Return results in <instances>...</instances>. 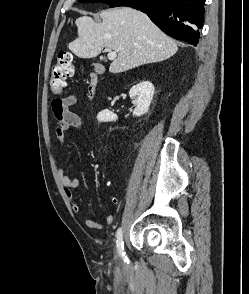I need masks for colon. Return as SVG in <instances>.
<instances>
[{
    "label": "colon",
    "mask_w": 249,
    "mask_h": 294,
    "mask_svg": "<svg viewBox=\"0 0 249 294\" xmlns=\"http://www.w3.org/2000/svg\"><path fill=\"white\" fill-rule=\"evenodd\" d=\"M75 74V64L72 54L69 52H62L58 55L57 62L53 65L49 86L54 94H61L66 86L68 78Z\"/></svg>",
    "instance_id": "5ec220e1"
}]
</instances>
